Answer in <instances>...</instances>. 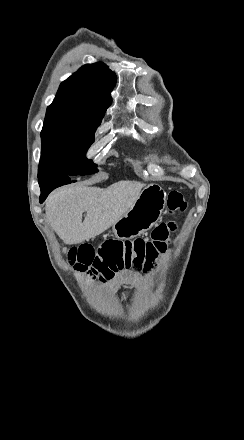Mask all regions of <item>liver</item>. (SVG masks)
<instances>
[{
    "instance_id": "liver-1",
    "label": "liver",
    "mask_w": 244,
    "mask_h": 440,
    "mask_svg": "<svg viewBox=\"0 0 244 440\" xmlns=\"http://www.w3.org/2000/svg\"><path fill=\"white\" fill-rule=\"evenodd\" d=\"M144 186L129 180L109 188L64 186L46 200L48 222L64 244L88 242L118 222L132 208ZM83 212H87L84 222Z\"/></svg>"
}]
</instances>
